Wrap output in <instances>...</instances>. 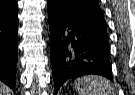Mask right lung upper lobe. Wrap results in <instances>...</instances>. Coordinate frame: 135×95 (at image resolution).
I'll use <instances>...</instances> for the list:
<instances>
[{"label": "right lung upper lobe", "instance_id": "obj_1", "mask_svg": "<svg viewBox=\"0 0 135 95\" xmlns=\"http://www.w3.org/2000/svg\"><path fill=\"white\" fill-rule=\"evenodd\" d=\"M17 15V4L15 0H0V18H8Z\"/></svg>", "mask_w": 135, "mask_h": 95}]
</instances>
